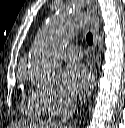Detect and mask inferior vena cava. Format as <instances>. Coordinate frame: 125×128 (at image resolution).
<instances>
[{
	"mask_svg": "<svg viewBox=\"0 0 125 128\" xmlns=\"http://www.w3.org/2000/svg\"><path fill=\"white\" fill-rule=\"evenodd\" d=\"M75 109L76 107L71 102L65 103L64 115L63 118L61 119V124H64L70 117L73 116Z\"/></svg>",
	"mask_w": 125,
	"mask_h": 128,
	"instance_id": "1",
	"label": "inferior vena cava"
}]
</instances>
